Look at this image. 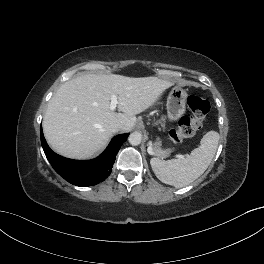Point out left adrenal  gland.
<instances>
[{"label": "left adrenal gland", "instance_id": "obj_1", "mask_svg": "<svg viewBox=\"0 0 264 264\" xmlns=\"http://www.w3.org/2000/svg\"><path fill=\"white\" fill-rule=\"evenodd\" d=\"M149 145L151 146V145H152V143H151V142H149Z\"/></svg>", "mask_w": 264, "mask_h": 264}]
</instances>
